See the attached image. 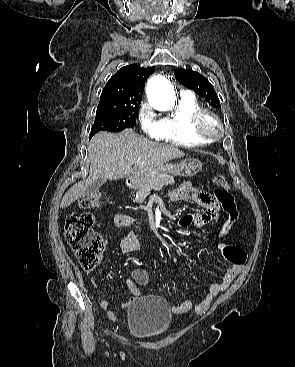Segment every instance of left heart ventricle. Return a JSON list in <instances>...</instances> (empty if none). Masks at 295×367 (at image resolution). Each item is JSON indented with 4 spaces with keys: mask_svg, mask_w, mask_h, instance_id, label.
I'll use <instances>...</instances> for the list:
<instances>
[{
    "mask_svg": "<svg viewBox=\"0 0 295 367\" xmlns=\"http://www.w3.org/2000/svg\"><path fill=\"white\" fill-rule=\"evenodd\" d=\"M207 127H208L209 131H211V132H214L216 130L215 124L213 122H211V121H209L207 123Z\"/></svg>",
    "mask_w": 295,
    "mask_h": 367,
    "instance_id": "left-heart-ventricle-1",
    "label": "left heart ventricle"
}]
</instances>
